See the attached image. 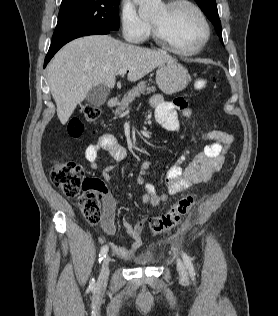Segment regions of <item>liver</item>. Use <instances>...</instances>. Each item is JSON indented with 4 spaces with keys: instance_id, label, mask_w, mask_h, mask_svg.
<instances>
[{
    "instance_id": "liver-1",
    "label": "liver",
    "mask_w": 278,
    "mask_h": 316,
    "mask_svg": "<svg viewBox=\"0 0 278 316\" xmlns=\"http://www.w3.org/2000/svg\"><path fill=\"white\" fill-rule=\"evenodd\" d=\"M173 58L161 51L123 43L108 35H92L65 45L47 68V80L57 106V115L65 124L75 108L93 87L113 88L120 69L129 71L135 82Z\"/></svg>"
}]
</instances>
